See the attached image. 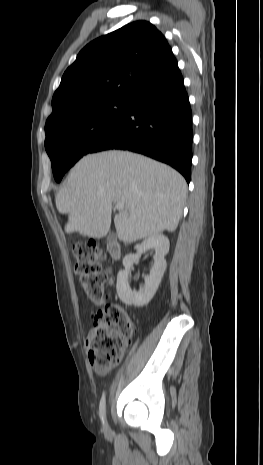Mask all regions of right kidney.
<instances>
[{
  "mask_svg": "<svg viewBox=\"0 0 263 465\" xmlns=\"http://www.w3.org/2000/svg\"><path fill=\"white\" fill-rule=\"evenodd\" d=\"M169 246V240L166 236L156 234L148 237L141 244L136 245V253L127 254L123 258L124 270L119 271L116 285L117 294L123 303L140 307L150 302L166 270L165 256L169 251ZM152 249L155 250L154 265L150 274L144 277L145 286L138 292L135 290L132 291L128 283L130 268L136 260H139L144 252Z\"/></svg>",
  "mask_w": 263,
  "mask_h": 465,
  "instance_id": "1",
  "label": "right kidney"
}]
</instances>
